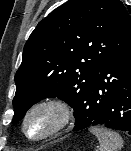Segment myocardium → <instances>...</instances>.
<instances>
[{
	"label": "myocardium",
	"instance_id": "obj_1",
	"mask_svg": "<svg viewBox=\"0 0 131 151\" xmlns=\"http://www.w3.org/2000/svg\"><path fill=\"white\" fill-rule=\"evenodd\" d=\"M48 110L55 114L54 124L42 135L31 136L27 131L29 118L38 111ZM72 118V109L70 104L61 97L50 96L34 102L25 112L22 119V132L27 139L34 142L46 141L53 138L63 131Z\"/></svg>",
	"mask_w": 131,
	"mask_h": 151
}]
</instances>
